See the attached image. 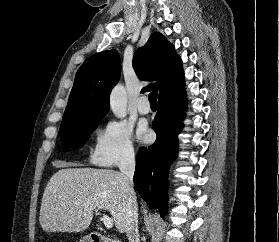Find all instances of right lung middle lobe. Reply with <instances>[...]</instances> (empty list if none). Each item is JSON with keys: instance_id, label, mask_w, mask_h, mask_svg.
I'll use <instances>...</instances> for the list:
<instances>
[{"instance_id": "right-lung-middle-lobe-1", "label": "right lung middle lobe", "mask_w": 279, "mask_h": 242, "mask_svg": "<svg viewBox=\"0 0 279 242\" xmlns=\"http://www.w3.org/2000/svg\"><path fill=\"white\" fill-rule=\"evenodd\" d=\"M101 117H92L73 125L60 126L59 136L63 150L79 149L84 145L88 136L97 128Z\"/></svg>"}]
</instances>
